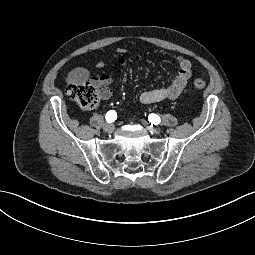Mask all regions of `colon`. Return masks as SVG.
<instances>
[{"mask_svg": "<svg viewBox=\"0 0 255 255\" xmlns=\"http://www.w3.org/2000/svg\"><path fill=\"white\" fill-rule=\"evenodd\" d=\"M193 85L196 89L202 90L206 87L205 80L197 78ZM67 96L82 109H92L99 101V94L96 87L87 84H70L66 89Z\"/></svg>", "mask_w": 255, "mask_h": 255, "instance_id": "5ec220e1", "label": "colon"}]
</instances>
